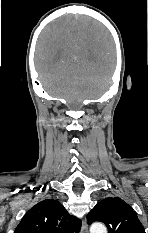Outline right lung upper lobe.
<instances>
[{"mask_svg":"<svg viewBox=\"0 0 148 233\" xmlns=\"http://www.w3.org/2000/svg\"><path fill=\"white\" fill-rule=\"evenodd\" d=\"M80 229L81 221L58 200L46 199L24 215L14 233H78Z\"/></svg>","mask_w":148,"mask_h":233,"instance_id":"cb5924a9","label":"right lung upper lobe"}]
</instances>
